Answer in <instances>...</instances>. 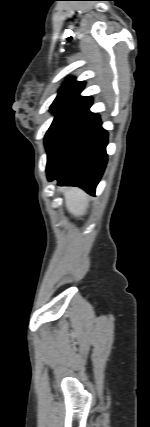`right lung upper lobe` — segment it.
<instances>
[{
  "label": "right lung upper lobe",
  "instance_id": "cb5924a9",
  "mask_svg": "<svg viewBox=\"0 0 150 427\" xmlns=\"http://www.w3.org/2000/svg\"><path fill=\"white\" fill-rule=\"evenodd\" d=\"M83 88L84 82H77L73 78L66 81L52 103L51 109H75L79 111L88 109L92 104V98L79 95Z\"/></svg>",
  "mask_w": 150,
  "mask_h": 427
}]
</instances>
